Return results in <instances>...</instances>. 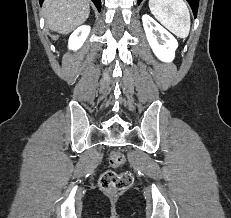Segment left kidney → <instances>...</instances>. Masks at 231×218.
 Returning a JSON list of instances; mask_svg holds the SVG:
<instances>
[{"mask_svg": "<svg viewBox=\"0 0 231 218\" xmlns=\"http://www.w3.org/2000/svg\"><path fill=\"white\" fill-rule=\"evenodd\" d=\"M142 22L148 43L154 54L161 61L171 62L178 47L175 37L147 14L142 16Z\"/></svg>", "mask_w": 231, "mask_h": 218, "instance_id": "obj_1", "label": "left kidney"}]
</instances>
